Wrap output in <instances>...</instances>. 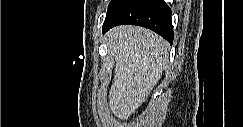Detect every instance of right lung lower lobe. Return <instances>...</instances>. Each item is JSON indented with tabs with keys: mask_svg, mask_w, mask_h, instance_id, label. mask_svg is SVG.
Instances as JSON below:
<instances>
[{
	"mask_svg": "<svg viewBox=\"0 0 243 127\" xmlns=\"http://www.w3.org/2000/svg\"><path fill=\"white\" fill-rule=\"evenodd\" d=\"M124 24L151 29L170 44L173 42L171 9L164 0H114L109 4L102 31Z\"/></svg>",
	"mask_w": 243,
	"mask_h": 127,
	"instance_id": "1",
	"label": "right lung lower lobe"
}]
</instances>
